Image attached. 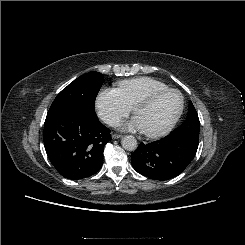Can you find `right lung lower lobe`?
Segmentation results:
<instances>
[{
    "label": "right lung lower lobe",
    "instance_id": "98d812e1",
    "mask_svg": "<svg viewBox=\"0 0 245 245\" xmlns=\"http://www.w3.org/2000/svg\"><path fill=\"white\" fill-rule=\"evenodd\" d=\"M110 130L81 111L48 113L44 123V146L49 160L65 178L90 177L102 167L104 146Z\"/></svg>",
    "mask_w": 245,
    "mask_h": 245
}]
</instances>
